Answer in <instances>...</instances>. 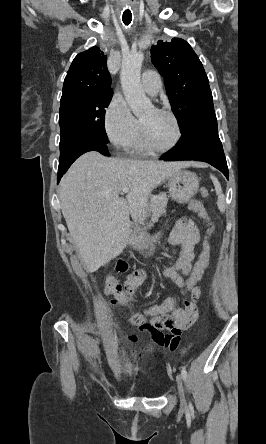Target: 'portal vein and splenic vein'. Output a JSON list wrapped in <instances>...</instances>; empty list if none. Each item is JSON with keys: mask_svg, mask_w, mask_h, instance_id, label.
Listing matches in <instances>:
<instances>
[{"mask_svg": "<svg viewBox=\"0 0 266 444\" xmlns=\"http://www.w3.org/2000/svg\"><path fill=\"white\" fill-rule=\"evenodd\" d=\"M121 192H122V194H126V193L129 192V188H128V187H125V188L122 189Z\"/></svg>", "mask_w": 266, "mask_h": 444, "instance_id": "18ae733b", "label": "portal vein and splenic vein"}]
</instances>
